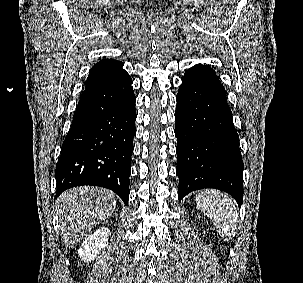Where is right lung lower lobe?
Segmentation results:
<instances>
[{
  "instance_id": "98d812e1",
  "label": "right lung lower lobe",
  "mask_w": 303,
  "mask_h": 283,
  "mask_svg": "<svg viewBox=\"0 0 303 283\" xmlns=\"http://www.w3.org/2000/svg\"><path fill=\"white\" fill-rule=\"evenodd\" d=\"M132 79L126 72L85 89L56 164V197L81 185L115 192L127 205L136 110Z\"/></svg>"
}]
</instances>
